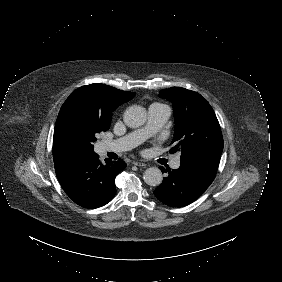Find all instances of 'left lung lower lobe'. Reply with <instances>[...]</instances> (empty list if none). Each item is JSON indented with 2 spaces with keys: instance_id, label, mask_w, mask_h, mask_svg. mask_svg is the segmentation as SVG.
I'll return each mask as SVG.
<instances>
[{
  "instance_id": "left-lung-lower-lobe-1",
  "label": "left lung lower lobe",
  "mask_w": 282,
  "mask_h": 282,
  "mask_svg": "<svg viewBox=\"0 0 282 282\" xmlns=\"http://www.w3.org/2000/svg\"><path fill=\"white\" fill-rule=\"evenodd\" d=\"M221 154L198 152L181 159V166L168 170L162 184L154 191L164 204L184 207L199 198L215 178ZM162 172L165 169L160 167Z\"/></svg>"
}]
</instances>
